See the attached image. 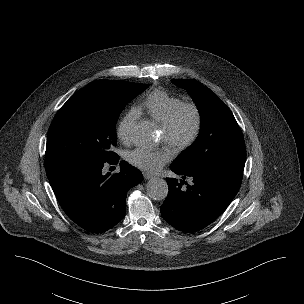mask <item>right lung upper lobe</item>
I'll list each match as a JSON object with an SVG mask.
<instances>
[{
  "instance_id": "obj_1",
  "label": "right lung upper lobe",
  "mask_w": 304,
  "mask_h": 304,
  "mask_svg": "<svg viewBox=\"0 0 304 304\" xmlns=\"http://www.w3.org/2000/svg\"><path fill=\"white\" fill-rule=\"evenodd\" d=\"M58 169H55V168H46V174H47V177H50L51 175H53L54 173H56Z\"/></svg>"
}]
</instances>
